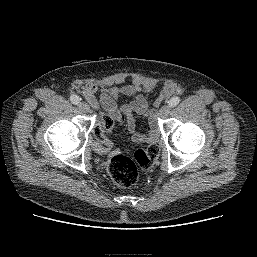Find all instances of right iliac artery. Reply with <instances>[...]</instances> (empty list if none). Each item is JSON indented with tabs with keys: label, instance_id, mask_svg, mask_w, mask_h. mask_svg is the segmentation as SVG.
<instances>
[{
	"label": "right iliac artery",
	"instance_id": "1",
	"mask_svg": "<svg viewBox=\"0 0 257 257\" xmlns=\"http://www.w3.org/2000/svg\"><path fill=\"white\" fill-rule=\"evenodd\" d=\"M80 98L77 96V95H72L71 97H70V101L73 103V104H78L79 102H80Z\"/></svg>",
	"mask_w": 257,
	"mask_h": 257
}]
</instances>
